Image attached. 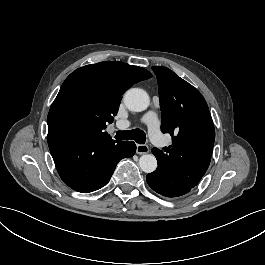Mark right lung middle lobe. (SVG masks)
Masks as SVG:
<instances>
[{"instance_id": "right-lung-middle-lobe-1", "label": "right lung middle lobe", "mask_w": 265, "mask_h": 265, "mask_svg": "<svg viewBox=\"0 0 265 265\" xmlns=\"http://www.w3.org/2000/svg\"><path fill=\"white\" fill-rule=\"evenodd\" d=\"M96 114V107L86 101H64L50 109L48 132L90 135Z\"/></svg>"}]
</instances>
